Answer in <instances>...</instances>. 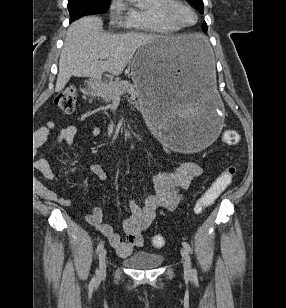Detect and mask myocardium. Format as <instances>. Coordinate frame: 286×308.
I'll use <instances>...</instances> for the list:
<instances>
[{"mask_svg":"<svg viewBox=\"0 0 286 308\" xmlns=\"http://www.w3.org/2000/svg\"><path fill=\"white\" fill-rule=\"evenodd\" d=\"M179 7H184L190 10L194 14L195 16L194 23L184 24L179 20L177 16V9ZM158 12L164 19L177 25L180 28H189L196 25V23L198 22V14L196 10L183 0H166V2L158 8Z\"/></svg>","mask_w":286,"mask_h":308,"instance_id":"obj_1","label":"myocardium"}]
</instances>
